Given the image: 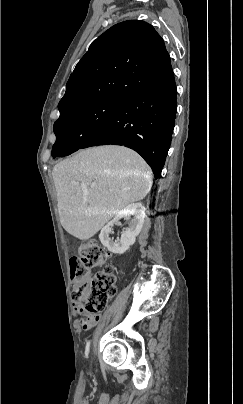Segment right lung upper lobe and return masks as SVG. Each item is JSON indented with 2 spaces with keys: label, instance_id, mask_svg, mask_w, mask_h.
Listing matches in <instances>:
<instances>
[{
  "label": "right lung upper lobe",
  "instance_id": "cb5924a9",
  "mask_svg": "<svg viewBox=\"0 0 243 404\" xmlns=\"http://www.w3.org/2000/svg\"><path fill=\"white\" fill-rule=\"evenodd\" d=\"M172 72L164 41L152 25L141 20L118 23L94 40L76 65L58 104L60 115L98 99H127Z\"/></svg>",
  "mask_w": 243,
  "mask_h": 404
}]
</instances>
